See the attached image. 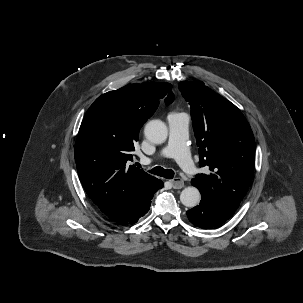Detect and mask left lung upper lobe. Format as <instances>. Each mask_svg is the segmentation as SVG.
Instances as JSON below:
<instances>
[{
    "instance_id": "obj_1",
    "label": "left lung upper lobe",
    "mask_w": 303,
    "mask_h": 303,
    "mask_svg": "<svg viewBox=\"0 0 303 303\" xmlns=\"http://www.w3.org/2000/svg\"><path fill=\"white\" fill-rule=\"evenodd\" d=\"M179 90L191 106L199 147V166L210 173L191 181L201 194H209L237 209L247 193L254 171L255 140L241 111L201 81H182Z\"/></svg>"
}]
</instances>
